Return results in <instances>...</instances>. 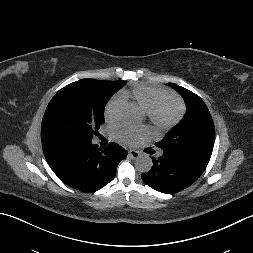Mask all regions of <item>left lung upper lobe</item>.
<instances>
[{"label":"left lung upper lobe","instance_id":"left-lung-upper-lobe-1","mask_svg":"<svg viewBox=\"0 0 253 253\" xmlns=\"http://www.w3.org/2000/svg\"><path fill=\"white\" fill-rule=\"evenodd\" d=\"M186 103V114L180 124L173 127L156 146L208 164L215 139V128L210 112L195 93L177 84L169 83Z\"/></svg>","mask_w":253,"mask_h":253}]
</instances>
